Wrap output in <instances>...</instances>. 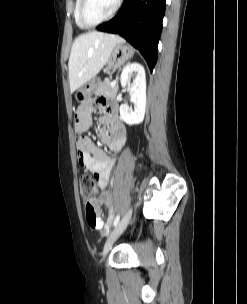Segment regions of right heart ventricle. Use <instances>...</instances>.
Returning a JSON list of instances; mask_svg holds the SVG:
<instances>
[{"instance_id": "obj_1", "label": "right heart ventricle", "mask_w": 247, "mask_h": 304, "mask_svg": "<svg viewBox=\"0 0 247 304\" xmlns=\"http://www.w3.org/2000/svg\"><path fill=\"white\" fill-rule=\"evenodd\" d=\"M79 5H80V0H75V4H74V19H75V22L77 24V26L81 29H84V27L80 24L79 22V15H78V12H79Z\"/></svg>"}]
</instances>
